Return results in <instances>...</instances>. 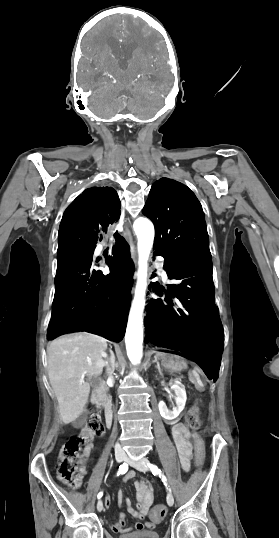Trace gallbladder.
Masks as SVG:
<instances>
[{
  "label": "gallbladder",
  "mask_w": 279,
  "mask_h": 538,
  "mask_svg": "<svg viewBox=\"0 0 279 538\" xmlns=\"http://www.w3.org/2000/svg\"><path fill=\"white\" fill-rule=\"evenodd\" d=\"M90 383H91L92 386L97 387V386L100 385L101 380H100L99 377L94 376V377L91 378ZM79 419L81 421H86L88 419V414L86 412H81L79 414ZM76 424H79V421H76Z\"/></svg>",
  "instance_id": "bac80fb5"
}]
</instances>
